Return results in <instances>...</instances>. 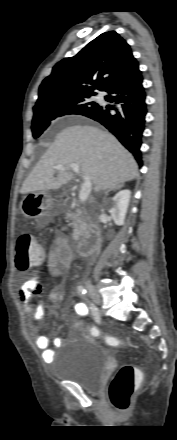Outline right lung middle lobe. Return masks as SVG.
Here are the masks:
<instances>
[{
    "label": "right lung middle lobe",
    "instance_id": "obj_1",
    "mask_svg": "<svg viewBox=\"0 0 177 440\" xmlns=\"http://www.w3.org/2000/svg\"><path fill=\"white\" fill-rule=\"evenodd\" d=\"M93 95L95 94L64 96L46 105L34 107V116L31 127L33 137L38 138L50 125L51 121L57 117L70 114L84 115L97 108L98 104L89 100Z\"/></svg>",
    "mask_w": 177,
    "mask_h": 440
}]
</instances>
